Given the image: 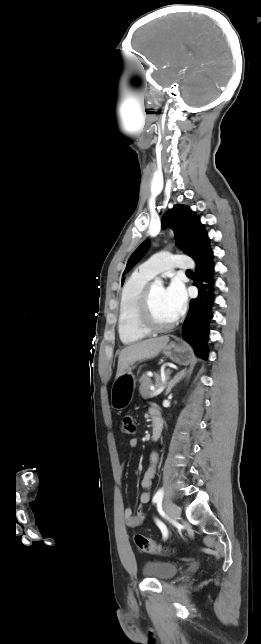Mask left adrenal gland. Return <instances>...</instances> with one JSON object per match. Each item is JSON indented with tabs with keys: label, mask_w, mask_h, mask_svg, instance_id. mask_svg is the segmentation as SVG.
Wrapping results in <instances>:
<instances>
[{
	"label": "left adrenal gland",
	"mask_w": 261,
	"mask_h": 644,
	"mask_svg": "<svg viewBox=\"0 0 261 644\" xmlns=\"http://www.w3.org/2000/svg\"><path fill=\"white\" fill-rule=\"evenodd\" d=\"M188 374H191V370L183 369L180 372L176 373L175 376L170 380L165 395H168L171 389L182 379H184Z\"/></svg>",
	"instance_id": "left-adrenal-gland-1"
}]
</instances>
